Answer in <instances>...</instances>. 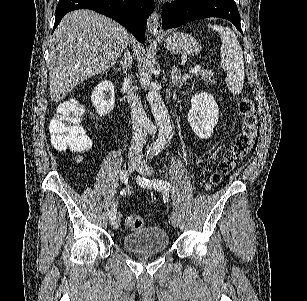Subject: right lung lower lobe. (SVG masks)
<instances>
[{
  "instance_id": "1",
  "label": "right lung lower lobe",
  "mask_w": 307,
  "mask_h": 301,
  "mask_svg": "<svg viewBox=\"0 0 307 301\" xmlns=\"http://www.w3.org/2000/svg\"><path fill=\"white\" fill-rule=\"evenodd\" d=\"M76 9H91L112 18L143 43L147 18L154 10V2L153 0H59L54 29L65 14Z\"/></svg>"
}]
</instances>
